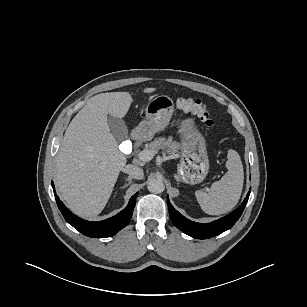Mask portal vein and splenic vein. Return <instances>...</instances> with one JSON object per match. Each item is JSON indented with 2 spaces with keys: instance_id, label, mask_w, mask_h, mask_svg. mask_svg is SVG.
I'll return each instance as SVG.
<instances>
[{
  "instance_id": "obj_1",
  "label": "portal vein and splenic vein",
  "mask_w": 307,
  "mask_h": 307,
  "mask_svg": "<svg viewBox=\"0 0 307 307\" xmlns=\"http://www.w3.org/2000/svg\"><path fill=\"white\" fill-rule=\"evenodd\" d=\"M155 155V152L152 150H143L138 154V158L143 161V162H147L153 159Z\"/></svg>"
}]
</instances>
